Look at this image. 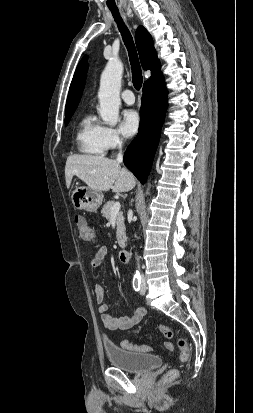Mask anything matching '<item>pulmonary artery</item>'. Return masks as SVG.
Returning a JSON list of instances; mask_svg holds the SVG:
<instances>
[{"mask_svg": "<svg viewBox=\"0 0 253 413\" xmlns=\"http://www.w3.org/2000/svg\"><path fill=\"white\" fill-rule=\"evenodd\" d=\"M121 98H122L123 101H124L126 104H128V105H132V104H134V102H135L134 94H133V92H132L131 90H129V89L124 90V91L121 93Z\"/></svg>", "mask_w": 253, "mask_h": 413, "instance_id": "pulmonary-artery-1", "label": "pulmonary artery"}]
</instances>
